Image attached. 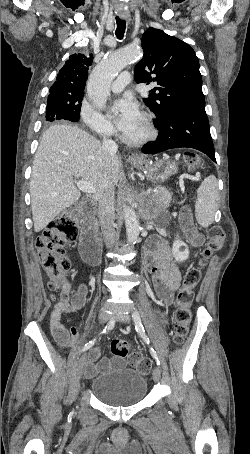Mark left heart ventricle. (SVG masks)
I'll list each match as a JSON object with an SVG mask.
<instances>
[{
  "label": "left heart ventricle",
  "mask_w": 250,
  "mask_h": 454,
  "mask_svg": "<svg viewBox=\"0 0 250 454\" xmlns=\"http://www.w3.org/2000/svg\"><path fill=\"white\" fill-rule=\"evenodd\" d=\"M145 133L146 129L141 116L131 128H129L126 132H123L126 137L132 139L142 137Z\"/></svg>",
  "instance_id": "b2bd125f"
}]
</instances>
